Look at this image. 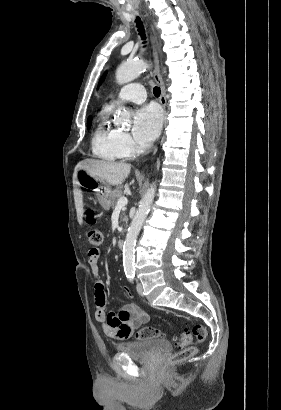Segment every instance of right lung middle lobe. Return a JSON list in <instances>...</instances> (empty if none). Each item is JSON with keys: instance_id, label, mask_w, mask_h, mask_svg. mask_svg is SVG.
Returning <instances> with one entry per match:
<instances>
[{"instance_id": "dd1d6c3e", "label": "right lung middle lobe", "mask_w": 281, "mask_h": 410, "mask_svg": "<svg viewBox=\"0 0 281 410\" xmlns=\"http://www.w3.org/2000/svg\"><path fill=\"white\" fill-rule=\"evenodd\" d=\"M91 121H92V118H91V117H89V118H88V122H87V126H88V128L91 126Z\"/></svg>"}]
</instances>
